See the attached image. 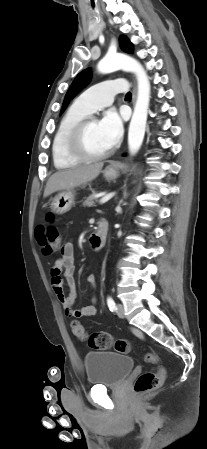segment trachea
Returning a JSON list of instances; mask_svg holds the SVG:
<instances>
[{"mask_svg":"<svg viewBox=\"0 0 207 449\" xmlns=\"http://www.w3.org/2000/svg\"><path fill=\"white\" fill-rule=\"evenodd\" d=\"M132 97V94L130 93V92H128L127 94H126V98H131Z\"/></svg>","mask_w":207,"mask_h":449,"instance_id":"obj_1","label":"trachea"}]
</instances>
